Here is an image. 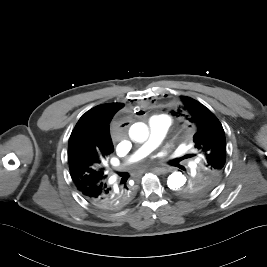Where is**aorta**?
I'll return each mask as SVG.
<instances>
[{
  "label": "aorta",
  "mask_w": 267,
  "mask_h": 267,
  "mask_svg": "<svg viewBox=\"0 0 267 267\" xmlns=\"http://www.w3.org/2000/svg\"><path fill=\"white\" fill-rule=\"evenodd\" d=\"M130 137L137 142H144L148 138V128L146 124L138 122L133 124L129 130ZM186 182V177L181 172H173L169 175L167 185L171 190H178Z\"/></svg>",
  "instance_id": "aorta-1"
}]
</instances>
